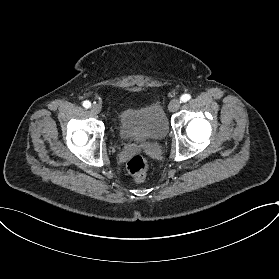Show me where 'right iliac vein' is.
<instances>
[{"label": "right iliac vein", "instance_id": "right-iliac-vein-1", "mask_svg": "<svg viewBox=\"0 0 279 279\" xmlns=\"http://www.w3.org/2000/svg\"><path fill=\"white\" fill-rule=\"evenodd\" d=\"M90 112L92 114H99L101 112V106L98 105V104H93L91 107H90Z\"/></svg>", "mask_w": 279, "mask_h": 279}]
</instances>
